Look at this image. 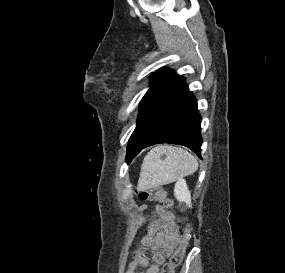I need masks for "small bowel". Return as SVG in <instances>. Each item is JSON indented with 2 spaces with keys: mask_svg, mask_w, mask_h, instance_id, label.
Wrapping results in <instances>:
<instances>
[{
  "mask_svg": "<svg viewBox=\"0 0 285 273\" xmlns=\"http://www.w3.org/2000/svg\"><path fill=\"white\" fill-rule=\"evenodd\" d=\"M140 208L145 209L143 206ZM155 213L157 218L151 221L146 234L140 240L126 273H137L139 267H147L146 273H158L159 267L179 242L174 215L161 205L155 207ZM145 250L151 252L153 260L151 265L144 256Z\"/></svg>",
  "mask_w": 285,
  "mask_h": 273,
  "instance_id": "1",
  "label": "small bowel"
}]
</instances>
